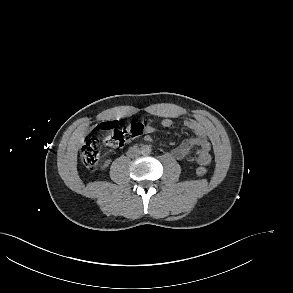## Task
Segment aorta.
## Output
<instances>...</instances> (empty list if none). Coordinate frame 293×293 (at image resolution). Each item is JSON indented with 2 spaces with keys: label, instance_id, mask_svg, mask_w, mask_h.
<instances>
[{
  "label": "aorta",
  "instance_id": "762f6f07",
  "mask_svg": "<svg viewBox=\"0 0 293 293\" xmlns=\"http://www.w3.org/2000/svg\"><path fill=\"white\" fill-rule=\"evenodd\" d=\"M141 153H142L143 155H148V154H150V153H151V147L148 146V145H144V146H142V148H141Z\"/></svg>",
  "mask_w": 293,
  "mask_h": 293
}]
</instances>
